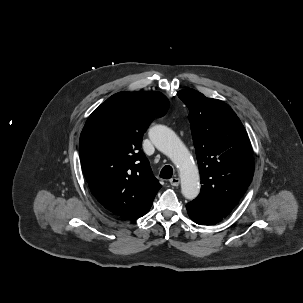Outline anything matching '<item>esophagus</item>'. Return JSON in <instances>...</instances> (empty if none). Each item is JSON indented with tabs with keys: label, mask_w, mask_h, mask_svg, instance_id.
Instances as JSON below:
<instances>
[{
	"label": "esophagus",
	"mask_w": 303,
	"mask_h": 303,
	"mask_svg": "<svg viewBox=\"0 0 303 303\" xmlns=\"http://www.w3.org/2000/svg\"><path fill=\"white\" fill-rule=\"evenodd\" d=\"M170 184L172 186H178L180 184V179L178 177H173L170 179Z\"/></svg>",
	"instance_id": "obj_1"
}]
</instances>
